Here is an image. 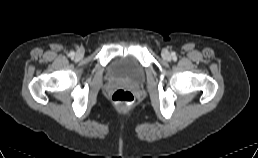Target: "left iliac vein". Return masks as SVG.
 <instances>
[{"label": "left iliac vein", "instance_id": "obj_1", "mask_svg": "<svg viewBox=\"0 0 258 158\" xmlns=\"http://www.w3.org/2000/svg\"><path fill=\"white\" fill-rule=\"evenodd\" d=\"M162 57L165 59V60H170L171 59V54L169 53V51L167 50H163L162 51Z\"/></svg>", "mask_w": 258, "mask_h": 158}]
</instances>
